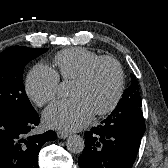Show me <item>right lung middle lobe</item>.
<instances>
[{
	"mask_svg": "<svg viewBox=\"0 0 168 168\" xmlns=\"http://www.w3.org/2000/svg\"><path fill=\"white\" fill-rule=\"evenodd\" d=\"M47 48L9 47L0 54V111L31 114L32 107L22 82L26 64Z\"/></svg>",
	"mask_w": 168,
	"mask_h": 168,
	"instance_id": "dd1d6c3e",
	"label": "right lung middle lobe"
}]
</instances>
